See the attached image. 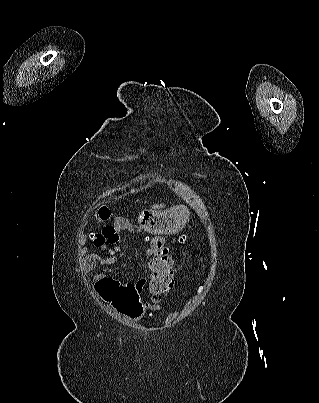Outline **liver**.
Wrapping results in <instances>:
<instances>
[{
	"instance_id": "liver-1",
	"label": "liver",
	"mask_w": 319,
	"mask_h": 403,
	"mask_svg": "<svg viewBox=\"0 0 319 403\" xmlns=\"http://www.w3.org/2000/svg\"><path fill=\"white\" fill-rule=\"evenodd\" d=\"M165 205L164 204H160V205H154L152 208L156 209V208H163Z\"/></svg>"
}]
</instances>
